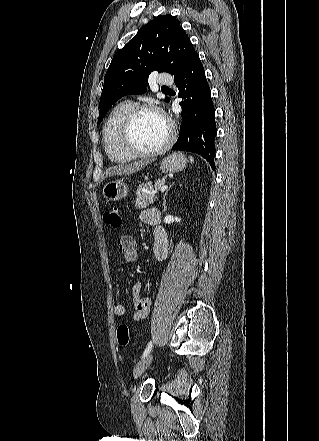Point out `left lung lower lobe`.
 Segmentation results:
<instances>
[{
  "label": "left lung lower lobe",
  "mask_w": 319,
  "mask_h": 441,
  "mask_svg": "<svg viewBox=\"0 0 319 441\" xmlns=\"http://www.w3.org/2000/svg\"><path fill=\"white\" fill-rule=\"evenodd\" d=\"M174 80L179 89L178 97L183 99L180 102L183 114L179 136L172 150L197 153L215 169V109L198 54Z\"/></svg>",
  "instance_id": "1"
}]
</instances>
